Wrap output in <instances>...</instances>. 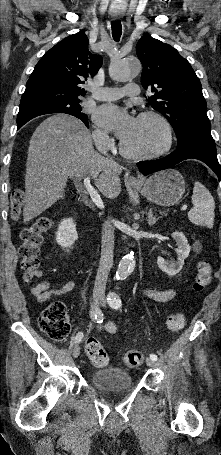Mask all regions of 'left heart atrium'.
Segmentation results:
<instances>
[{
  "label": "left heart atrium",
  "mask_w": 221,
  "mask_h": 455,
  "mask_svg": "<svg viewBox=\"0 0 221 455\" xmlns=\"http://www.w3.org/2000/svg\"><path fill=\"white\" fill-rule=\"evenodd\" d=\"M97 124L112 130L121 140L127 139L134 131L137 118L127 110L113 105L98 108L94 115Z\"/></svg>",
  "instance_id": "1"
}]
</instances>
